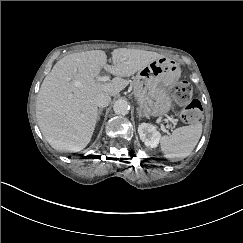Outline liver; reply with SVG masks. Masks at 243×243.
I'll return each mask as SVG.
<instances>
[{"instance_id": "liver-1", "label": "liver", "mask_w": 243, "mask_h": 243, "mask_svg": "<svg viewBox=\"0 0 243 243\" xmlns=\"http://www.w3.org/2000/svg\"><path fill=\"white\" fill-rule=\"evenodd\" d=\"M162 57L156 52L118 48L112 52V65L107 64L102 50L69 54L60 59L44 78L36 100V119L47 142L56 150L84 149L97 121L96 95H117L129 84L123 77ZM102 68L116 77L109 83L97 81Z\"/></svg>"}]
</instances>
